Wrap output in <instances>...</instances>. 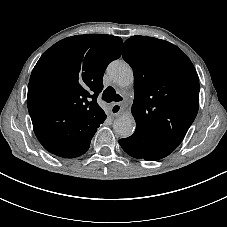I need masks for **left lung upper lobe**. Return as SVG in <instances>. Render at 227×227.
<instances>
[{"instance_id": "obj_1", "label": "left lung upper lobe", "mask_w": 227, "mask_h": 227, "mask_svg": "<svg viewBox=\"0 0 227 227\" xmlns=\"http://www.w3.org/2000/svg\"><path fill=\"white\" fill-rule=\"evenodd\" d=\"M123 58L134 73V135L172 152L198 112L194 65L174 44L143 36H132L124 43Z\"/></svg>"}]
</instances>
